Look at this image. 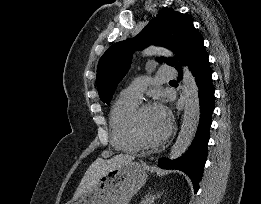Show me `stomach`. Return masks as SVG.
<instances>
[{"label": "stomach", "instance_id": "1", "mask_svg": "<svg viewBox=\"0 0 261 204\" xmlns=\"http://www.w3.org/2000/svg\"><path fill=\"white\" fill-rule=\"evenodd\" d=\"M147 177L142 163L130 162L108 171L96 185L68 204H128Z\"/></svg>", "mask_w": 261, "mask_h": 204}]
</instances>
